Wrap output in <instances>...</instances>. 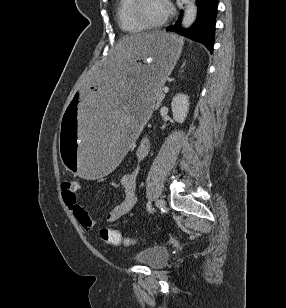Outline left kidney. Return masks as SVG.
Returning <instances> with one entry per match:
<instances>
[{
  "mask_svg": "<svg viewBox=\"0 0 286 308\" xmlns=\"http://www.w3.org/2000/svg\"><path fill=\"white\" fill-rule=\"evenodd\" d=\"M171 109L175 121L183 123L189 110V97L184 94L176 95L171 102Z\"/></svg>",
  "mask_w": 286,
  "mask_h": 308,
  "instance_id": "1",
  "label": "left kidney"
}]
</instances>
